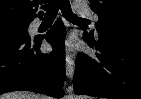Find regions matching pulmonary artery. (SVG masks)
<instances>
[{"label": "pulmonary artery", "instance_id": "pulmonary-artery-1", "mask_svg": "<svg viewBox=\"0 0 141 99\" xmlns=\"http://www.w3.org/2000/svg\"><path fill=\"white\" fill-rule=\"evenodd\" d=\"M76 11L79 13V14H81V15H83V16H88V17H91L94 21H97L98 20V16L97 15H95L94 13H92L91 11H89L87 8H85V7H83V6H76ZM35 26H38L39 25V23L38 22H36L35 24H34Z\"/></svg>", "mask_w": 141, "mask_h": 99}]
</instances>
